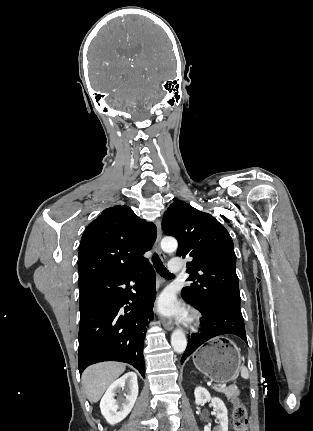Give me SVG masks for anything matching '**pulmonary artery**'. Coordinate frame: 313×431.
Wrapping results in <instances>:
<instances>
[{"label": "pulmonary artery", "instance_id": "pulmonary-artery-1", "mask_svg": "<svg viewBox=\"0 0 313 431\" xmlns=\"http://www.w3.org/2000/svg\"><path fill=\"white\" fill-rule=\"evenodd\" d=\"M168 268H169L170 272H172V273L180 272L181 268H182L180 259L174 258V259L170 260L168 263Z\"/></svg>", "mask_w": 313, "mask_h": 431}]
</instances>
